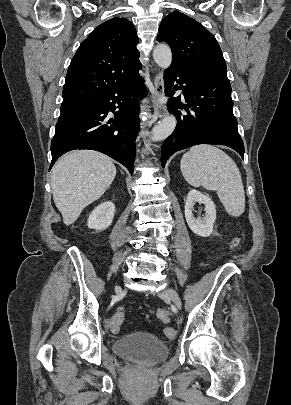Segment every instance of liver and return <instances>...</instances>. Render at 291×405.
<instances>
[{"mask_svg": "<svg viewBox=\"0 0 291 405\" xmlns=\"http://www.w3.org/2000/svg\"><path fill=\"white\" fill-rule=\"evenodd\" d=\"M116 176L110 157L93 150L63 155L52 168L53 200L65 225L73 224L82 210L99 199Z\"/></svg>", "mask_w": 291, "mask_h": 405, "instance_id": "1", "label": "liver"}]
</instances>
